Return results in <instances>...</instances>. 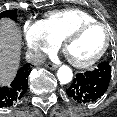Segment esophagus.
<instances>
[{"label": "esophagus", "mask_w": 117, "mask_h": 117, "mask_svg": "<svg viewBox=\"0 0 117 117\" xmlns=\"http://www.w3.org/2000/svg\"><path fill=\"white\" fill-rule=\"evenodd\" d=\"M45 67L50 69V70H55L58 68V65L52 64V63H47V64H45Z\"/></svg>", "instance_id": "esophagus-1"}]
</instances>
